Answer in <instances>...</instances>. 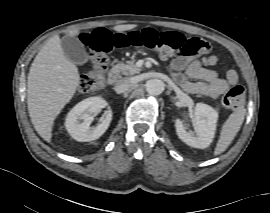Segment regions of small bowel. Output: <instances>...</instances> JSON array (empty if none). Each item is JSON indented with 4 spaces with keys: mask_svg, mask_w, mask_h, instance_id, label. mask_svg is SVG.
I'll return each mask as SVG.
<instances>
[{
    "mask_svg": "<svg viewBox=\"0 0 270 213\" xmlns=\"http://www.w3.org/2000/svg\"><path fill=\"white\" fill-rule=\"evenodd\" d=\"M216 63L217 58L210 53H204L201 59L195 60L191 56L180 54L173 59L169 72L186 91L217 99L228 90L229 84L211 69Z\"/></svg>",
    "mask_w": 270,
    "mask_h": 213,
    "instance_id": "c3829d8e",
    "label": "small bowel"
}]
</instances>
